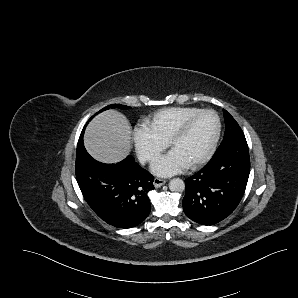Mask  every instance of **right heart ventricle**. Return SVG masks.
<instances>
[{"label":"right heart ventricle","mask_w":298,"mask_h":298,"mask_svg":"<svg viewBox=\"0 0 298 298\" xmlns=\"http://www.w3.org/2000/svg\"><path fill=\"white\" fill-rule=\"evenodd\" d=\"M201 111L198 107H171L157 111L148 120L150 130L166 141L174 127L185 118Z\"/></svg>","instance_id":"e07e8e85"}]
</instances>
